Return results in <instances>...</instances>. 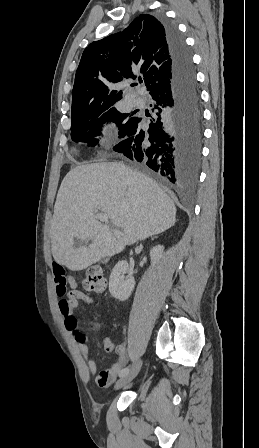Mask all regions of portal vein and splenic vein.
Returning a JSON list of instances; mask_svg holds the SVG:
<instances>
[{"instance_id":"18ae733b","label":"portal vein and splenic vein","mask_w":259,"mask_h":448,"mask_svg":"<svg viewBox=\"0 0 259 448\" xmlns=\"http://www.w3.org/2000/svg\"><path fill=\"white\" fill-rule=\"evenodd\" d=\"M96 218L100 220V222H105V224H108L109 216L107 214H96ZM117 232V230H115ZM117 234H121V232H117Z\"/></svg>"}]
</instances>
